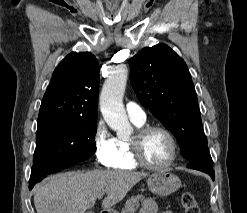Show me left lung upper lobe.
<instances>
[{"label":"left lung upper lobe","instance_id":"1","mask_svg":"<svg viewBox=\"0 0 247 213\" xmlns=\"http://www.w3.org/2000/svg\"><path fill=\"white\" fill-rule=\"evenodd\" d=\"M130 81L141 104L177 138L189 160L207 139L186 63L165 44L143 48L129 60Z\"/></svg>","mask_w":247,"mask_h":213}]
</instances>
